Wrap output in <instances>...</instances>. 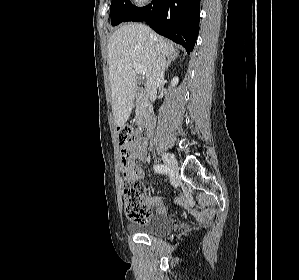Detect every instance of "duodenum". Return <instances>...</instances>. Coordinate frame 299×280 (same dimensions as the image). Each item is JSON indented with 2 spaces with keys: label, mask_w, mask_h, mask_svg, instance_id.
Listing matches in <instances>:
<instances>
[{
  "label": "duodenum",
  "mask_w": 299,
  "mask_h": 280,
  "mask_svg": "<svg viewBox=\"0 0 299 280\" xmlns=\"http://www.w3.org/2000/svg\"><path fill=\"white\" fill-rule=\"evenodd\" d=\"M138 98L141 101H146L147 93L145 91H141ZM139 130H140V134L143 137H147L151 133V131H152V121H151V118H150L148 113H147L146 118L140 123Z\"/></svg>",
  "instance_id": "1"
}]
</instances>
